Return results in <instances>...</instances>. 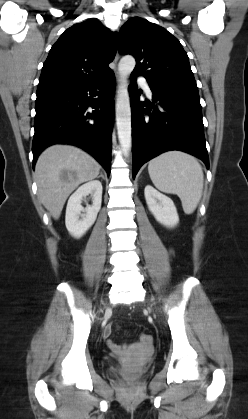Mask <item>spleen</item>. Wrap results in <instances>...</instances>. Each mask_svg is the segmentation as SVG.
<instances>
[{
    "label": "spleen",
    "mask_w": 248,
    "mask_h": 419,
    "mask_svg": "<svg viewBox=\"0 0 248 419\" xmlns=\"http://www.w3.org/2000/svg\"><path fill=\"white\" fill-rule=\"evenodd\" d=\"M148 172L160 191L179 196L183 210L192 214L203 192V170L197 159L181 151H169L149 162Z\"/></svg>",
    "instance_id": "spleen-1"
}]
</instances>
